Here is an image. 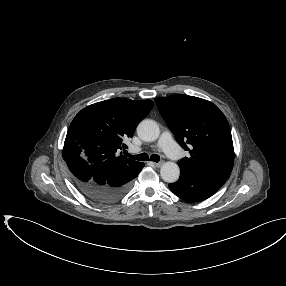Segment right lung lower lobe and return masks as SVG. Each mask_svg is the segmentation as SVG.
<instances>
[{
	"label": "right lung lower lobe",
	"instance_id": "1",
	"mask_svg": "<svg viewBox=\"0 0 286 286\" xmlns=\"http://www.w3.org/2000/svg\"><path fill=\"white\" fill-rule=\"evenodd\" d=\"M64 160L73 174L74 183L78 190L88 199L102 205L111 204L121 199L128 192L131 180L136 178L144 167V163L140 162L126 174L100 180L92 169L76 158L75 155H69Z\"/></svg>",
	"mask_w": 286,
	"mask_h": 286
}]
</instances>
